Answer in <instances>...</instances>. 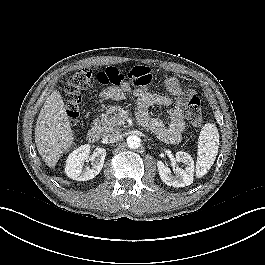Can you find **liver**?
<instances>
[{"mask_svg": "<svg viewBox=\"0 0 265 265\" xmlns=\"http://www.w3.org/2000/svg\"><path fill=\"white\" fill-rule=\"evenodd\" d=\"M73 141L74 133L65 111L64 101L60 92L54 90L46 99L37 119L36 147L46 165L53 168Z\"/></svg>", "mask_w": 265, "mask_h": 265, "instance_id": "obj_1", "label": "liver"}]
</instances>
